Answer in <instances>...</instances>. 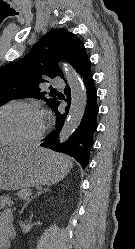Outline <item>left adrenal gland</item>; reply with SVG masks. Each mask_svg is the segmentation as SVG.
<instances>
[{"label": "left adrenal gland", "mask_w": 135, "mask_h": 249, "mask_svg": "<svg viewBox=\"0 0 135 249\" xmlns=\"http://www.w3.org/2000/svg\"><path fill=\"white\" fill-rule=\"evenodd\" d=\"M49 191V188H44V189H39V191L37 192V194L36 195H34L33 197H31V199H29L25 204H24V206L22 207V209H21V211H20V214H22L23 213V211L25 210V208L28 206V204L34 199V198H36L37 196H39V195H41V194H43V193H45V192H48Z\"/></svg>", "instance_id": "1"}]
</instances>
